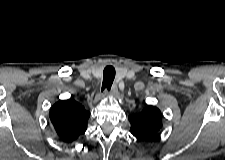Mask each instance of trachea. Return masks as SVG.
Returning <instances> with one entry per match:
<instances>
[{"label":"trachea","mask_w":225,"mask_h":160,"mask_svg":"<svg viewBox=\"0 0 225 160\" xmlns=\"http://www.w3.org/2000/svg\"><path fill=\"white\" fill-rule=\"evenodd\" d=\"M115 78V68L111 65L106 66L103 71V83L101 90H110Z\"/></svg>","instance_id":"3493384b"}]
</instances>
